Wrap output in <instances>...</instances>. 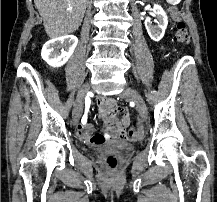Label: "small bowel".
I'll return each instance as SVG.
<instances>
[{
	"label": "small bowel",
	"mask_w": 217,
	"mask_h": 202,
	"mask_svg": "<svg viewBox=\"0 0 217 202\" xmlns=\"http://www.w3.org/2000/svg\"><path fill=\"white\" fill-rule=\"evenodd\" d=\"M95 106L100 109L101 115L98 116V121H106L105 133L96 134L93 124H79L76 128V136L80 141L86 144H102L111 140H138L142 131L128 130L131 123L130 113L122 110V117L118 121V116L115 113L120 112L121 105L116 104V101H95Z\"/></svg>",
	"instance_id": "c3829d8e"
}]
</instances>
